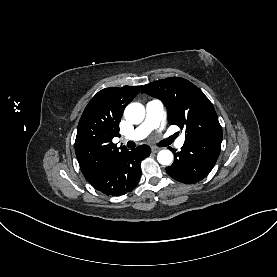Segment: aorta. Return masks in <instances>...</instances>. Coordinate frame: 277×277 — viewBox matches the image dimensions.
I'll use <instances>...</instances> for the list:
<instances>
[{
	"mask_svg": "<svg viewBox=\"0 0 277 277\" xmlns=\"http://www.w3.org/2000/svg\"><path fill=\"white\" fill-rule=\"evenodd\" d=\"M125 119L131 124H139L145 117L144 106L140 103L129 104L124 111ZM157 160L162 165H170L173 161V154L170 150H161L157 155Z\"/></svg>",
	"mask_w": 277,
	"mask_h": 277,
	"instance_id": "aorta-1",
	"label": "aorta"
}]
</instances>
